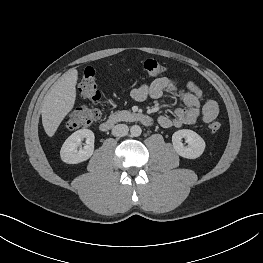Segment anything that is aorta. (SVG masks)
Wrapping results in <instances>:
<instances>
[{
    "mask_svg": "<svg viewBox=\"0 0 263 263\" xmlns=\"http://www.w3.org/2000/svg\"><path fill=\"white\" fill-rule=\"evenodd\" d=\"M141 132H142L141 127L138 126V125H133V126H131V128H130V133H131V136H133V137H138V136H140V135H141Z\"/></svg>",
    "mask_w": 263,
    "mask_h": 263,
    "instance_id": "obj_1",
    "label": "aorta"
}]
</instances>
